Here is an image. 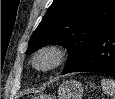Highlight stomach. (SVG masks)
Wrapping results in <instances>:
<instances>
[{
    "label": "stomach",
    "mask_w": 115,
    "mask_h": 99,
    "mask_svg": "<svg viewBox=\"0 0 115 99\" xmlns=\"http://www.w3.org/2000/svg\"><path fill=\"white\" fill-rule=\"evenodd\" d=\"M84 88L76 80L63 82L58 88V99H82ZM36 99H56L51 95H40Z\"/></svg>",
    "instance_id": "0dacf381"
}]
</instances>
